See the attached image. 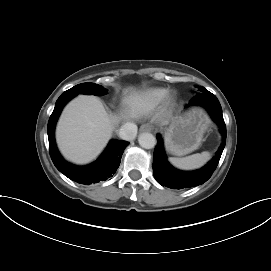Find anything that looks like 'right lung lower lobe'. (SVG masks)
I'll return each instance as SVG.
<instances>
[{"instance_id": "1", "label": "right lung lower lobe", "mask_w": 271, "mask_h": 271, "mask_svg": "<svg viewBox=\"0 0 271 271\" xmlns=\"http://www.w3.org/2000/svg\"><path fill=\"white\" fill-rule=\"evenodd\" d=\"M73 97L62 94L56 101L55 108L50 116L47 133L51 159L61 173L78 183L85 185L106 180L112 177L119 167L123 151L129 143L122 140L111 141L100 158L88 166L79 167L66 162L57 150L54 129L64 105Z\"/></svg>"}]
</instances>
